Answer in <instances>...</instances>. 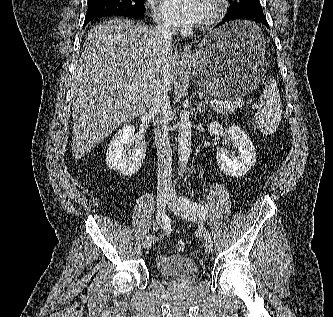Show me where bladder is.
Segmentation results:
<instances>
[{"mask_svg": "<svg viewBox=\"0 0 333 317\" xmlns=\"http://www.w3.org/2000/svg\"><path fill=\"white\" fill-rule=\"evenodd\" d=\"M157 272L166 278H187L198 271V264L189 256L170 254L159 257L156 261Z\"/></svg>", "mask_w": 333, "mask_h": 317, "instance_id": "obj_1", "label": "bladder"}]
</instances>
